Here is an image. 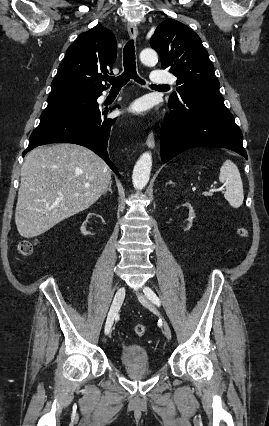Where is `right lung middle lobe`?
<instances>
[{"label":"right lung middle lobe","instance_id":"obj_1","mask_svg":"<svg viewBox=\"0 0 269 426\" xmlns=\"http://www.w3.org/2000/svg\"><path fill=\"white\" fill-rule=\"evenodd\" d=\"M99 94L76 90L51 92L48 96V106L42 112L40 122L70 115L97 105Z\"/></svg>","mask_w":269,"mask_h":426}]
</instances>
